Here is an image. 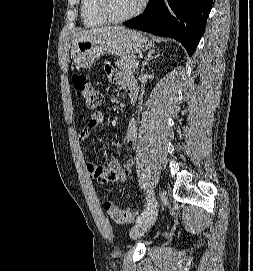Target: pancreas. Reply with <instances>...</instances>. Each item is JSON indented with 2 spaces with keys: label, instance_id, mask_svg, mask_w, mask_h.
I'll return each instance as SVG.
<instances>
[{
  "label": "pancreas",
  "instance_id": "obj_1",
  "mask_svg": "<svg viewBox=\"0 0 253 271\" xmlns=\"http://www.w3.org/2000/svg\"><path fill=\"white\" fill-rule=\"evenodd\" d=\"M135 61H137L135 55H125L118 59L115 65L122 71L134 73L136 70V66L134 65Z\"/></svg>",
  "mask_w": 253,
  "mask_h": 271
}]
</instances>
